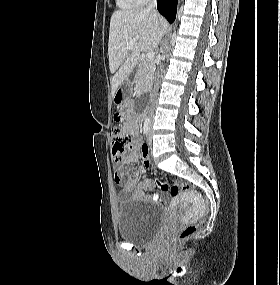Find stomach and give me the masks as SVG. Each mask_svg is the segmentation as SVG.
Here are the masks:
<instances>
[{
    "label": "stomach",
    "instance_id": "1",
    "mask_svg": "<svg viewBox=\"0 0 280 285\" xmlns=\"http://www.w3.org/2000/svg\"><path fill=\"white\" fill-rule=\"evenodd\" d=\"M132 90V82L129 79H125L118 87V89L116 90L114 96H113V100L114 103L116 104H120L123 101H125Z\"/></svg>",
    "mask_w": 280,
    "mask_h": 285
}]
</instances>
